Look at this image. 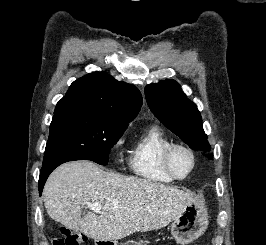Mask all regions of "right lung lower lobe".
I'll return each instance as SVG.
<instances>
[{
  "label": "right lung lower lobe",
  "instance_id": "98d812e1",
  "mask_svg": "<svg viewBox=\"0 0 266 245\" xmlns=\"http://www.w3.org/2000/svg\"><path fill=\"white\" fill-rule=\"evenodd\" d=\"M68 160H57L53 161L49 164L43 165L41 172H40V177H39V193L40 195L42 194V190L44 187V184L50 175V173L60 164L67 162Z\"/></svg>",
  "mask_w": 266,
  "mask_h": 245
}]
</instances>
